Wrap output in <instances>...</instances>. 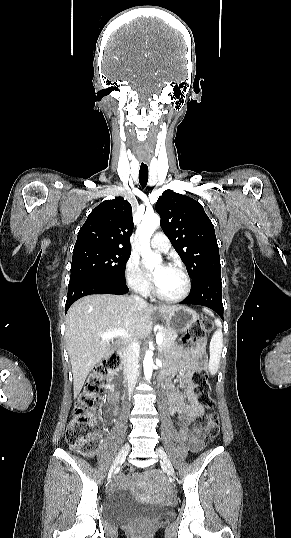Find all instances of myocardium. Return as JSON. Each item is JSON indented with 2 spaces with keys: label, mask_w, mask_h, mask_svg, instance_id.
<instances>
[{
  "label": "myocardium",
  "mask_w": 291,
  "mask_h": 538,
  "mask_svg": "<svg viewBox=\"0 0 291 538\" xmlns=\"http://www.w3.org/2000/svg\"><path fill=\"white\" fill-rule=\"evenodd\" d=\"M167 267L177 270L184 277V281H185L184 291L178 296L168 297V296L163 295L158 290L155 283L153 284L152 291H153L154 295L158 299H160L162 301L169 302V303L181 302L184 299H186L188 297V295L190 294V292H191L192 282H191L190 276H189L188 272L186 271V269L182 265H180L178 263H175V262L169 263V264H167Z\"/></svg>",
  "instance_id": "obj_1"
}]
</instances>
